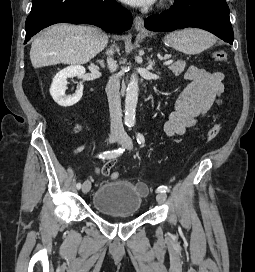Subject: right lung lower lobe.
Masks as SVG:
<instances>
[{
    "label": "right lung lower lobe",
    "instance_id": "obj_1",
    "mask_svg": "<svg viewBox=\"0 0 255 272\" xmlns=\"http://www.w3.org/2000/svg\"><path fill=\"white\" fill-rule=\"evenodd\" d=\"M62 22L92 24L112 33L128 30L133 21L130 12L115 0H33L25 23L26 39Z\"/></svg>",
    "mask_w": 255,
    "mask_h": 272
}]
</instances>
